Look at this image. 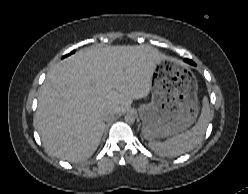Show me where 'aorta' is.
<instances>
[{"label":"aorta","instance_id":"aorta-1","mask_svg":"<svg viewBox=\"0 0 248 194\" xmlns=\"http://www.w3.org/2000/svg\"><path fill=\"white\" fill-rule=\"evenodd\" d=\"M135 115L134 114H126L125 115V122H127L128 124H133L135 122Z\"/></svg>","mask_w":248,"mask_h":194}]
</instances>
